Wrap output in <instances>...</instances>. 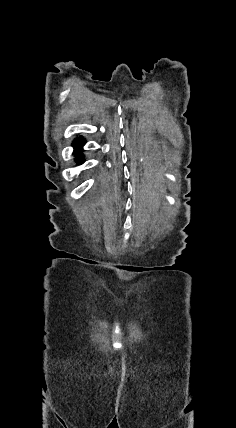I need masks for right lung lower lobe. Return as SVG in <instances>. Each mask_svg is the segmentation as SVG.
<instances>
[{
  "mask_svg": "<svg viewBox=\"0 0 236 428\" xmlns=\"http://www.w3.org/2000/svg\"><path fill=\"white\" fill-rule=\"evenodd\" d=\"M84 144H85V140L82 137L75 139L73 143V146L75 148L74 153L77 155V158L75 160L79 164L83 162L81 152H82V146Z\"/></svg>",
  "mask_w": 236,
  "mask_h": 428,
  "instance_id": "98d812e1",
  "label": "right lung lower lobe"
}]
</instances>
